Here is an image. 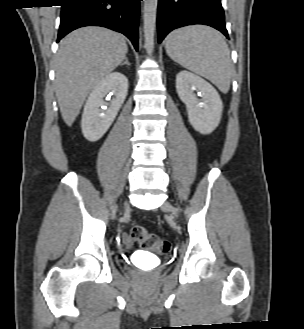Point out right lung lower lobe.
<instances>
[{
	"mask_svg": "<svg viewBox=\"0 0 304 329\" xmlns=\"http://www.w3.org/2000/svg\"><path fill=\"white\" fill-rule=\"evenodd\" d=\"M142 0H63L58 39L84 26H102L126 35L138 50Z\"/></svg>",
	"mask_w": 304,
	"mask_h": 329,
	"instance_id": "obj_1",
	"label": "right lung lower lobe"
}]
</instances>
